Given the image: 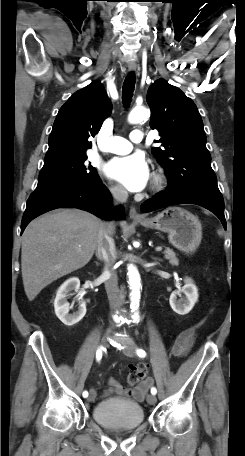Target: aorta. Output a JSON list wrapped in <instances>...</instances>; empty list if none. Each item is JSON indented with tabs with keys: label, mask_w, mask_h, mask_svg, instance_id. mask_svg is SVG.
<instances>
[{
	"label": "aorta",
	"mask_w": 245,
	"mask_h": 456,
	"mask_svg": "<svg viewBox=\"0 0 245 456\" xmlns=\"http://www.w3.org/2000/svg\"><path fill=\"white\" fill-rule=\"evenodd\" d=\"M150 116V111L145 108V107H137V108H134L130 114H129V117H128V121L130 123H139L141 121H143L144 119L148 118ZM128 283H129V286H130V289H131V293H130V300H131V304H130V308L132 311H135L138 309L139 307V301H140V286H141V283H140V275H139V272L137 270V268L130 264L128 266Z\"/></svg>",
	"instance_id": "1"
}]
</instances>
